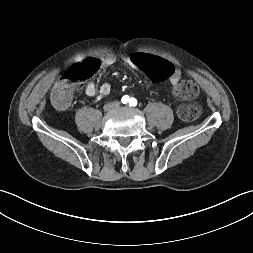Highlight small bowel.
I'll use <instances>...</instances> for the list:
<instances>
[{
    "label": "small bowel",
    "mask_w": 253,
    "mask_h": 253,
    "mask_svg": "<svg viewBox=\"0 0 253 253\" xmlns=\"http://www.w3.org/2000/svg\"><path fill=\"white\" fill-rule=\"evenodd\" d=\"M133 55L126 56L124 58V62L132 68L139 69L137 65L133 62ZM97 60H99L100 64H102L104 67H110L116 62V57L113 54H106L104 57ZM181 76V71L173 67V72L164 78H168L169 82L173 86H176L180 82ZM110 92L111 85L109 83H104L99 88L93 82H89L85 86V94L89 97H93L97 94L101 96H106Z\"/></svg>",
    "instance_id": "c3829d8e"
}]
</instances>
